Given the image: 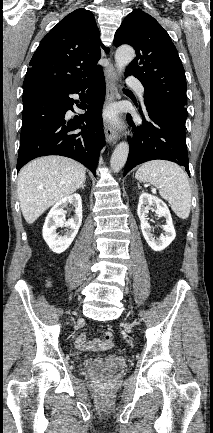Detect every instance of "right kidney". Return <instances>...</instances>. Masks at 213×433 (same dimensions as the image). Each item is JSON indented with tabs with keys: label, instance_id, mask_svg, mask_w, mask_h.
Returning a JSON list of instances; mask_svg holds the SVG:
<instances>
[{
	"label": "right kidney",
	"instance_id": "1",
	"mask_svg": "<svg viewBox=\"0 0 213 433\" xmlns=\"http://www.w3.org/2000/svg\"><path fill=\"white\" fill-rule=\"evenodd\" d=\"M68 204H72L75 207V216L66 221L64 208ZM81 223L82 199L79 194L75 193L63 198L52 207L43 226V238L53 252L60 254L71 245ZM58 227H66V232L63 235H59L57 233Z\"/></svg>",
	"mask_w": 213,
	"mask_h": 433
}]
</instances>
